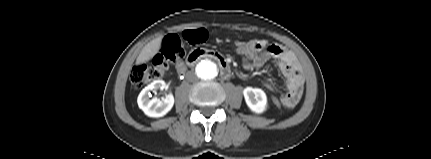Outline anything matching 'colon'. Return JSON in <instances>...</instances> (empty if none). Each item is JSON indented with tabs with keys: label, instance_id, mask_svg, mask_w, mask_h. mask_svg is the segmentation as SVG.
Segmentation results:
<instances>
[{
	"label": "colon",
	"instance_id": "obj_1",
	"mask_svg": "<svg viewBox=\"0 0 431 159\" xmlns=\"http://www.w3.org/2000/svg\"><path fill=\"white\" fill-rule=\"evenodd\" d=\"M207 33L203 29L185 31L181 35L171 34L166 36L161 45L160 52L149 62L139 64L133 68L130 76L132 85L141 88L147 83L158 80L168 70L171 64L182 59L186 53V45H196L206 40ZM233 53L241 55L246 48L238 46L233 48ZM269 101L274 102L277 110H282V106L277 104L275 95L269 96Z\"/></svg>",
	"mask_w": 431,
	"mask_h": 159
}]
</instances>
